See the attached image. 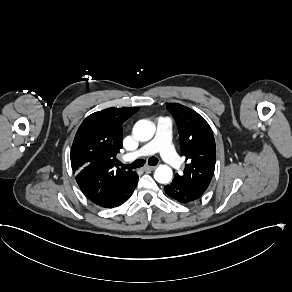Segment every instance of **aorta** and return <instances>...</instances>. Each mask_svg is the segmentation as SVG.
<instances>
[{
  "mask_svg": "<svg viewBox=\"0 0 292 292\" xmlns=\"http://www.w3.org/2000/svg\"><path fill=\"white\" fill-rule=\"evenodd\" d=\"M154 126L147 120L138 121L134 128V135L141 141H148L154 135ZM172 169L167 165H160L154 173V178L157 182L165 184L169 183L172 179Z\"/></svg>",
  "mask_w": 292,
  "mask_h": 292,
  "instance_id": "obj_1",
  "label": "aorta"
}]
</instances>
